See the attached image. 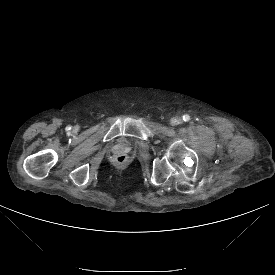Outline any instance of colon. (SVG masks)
I'll list each match as a JSON object with an SVG mask.
<instances>
[{"label": "colon", "instance_id": "colon-1", "mask_svg": "<svg viewBox=\"0 0 275 275\" xmlns=\"http://www.w3.org/2000/svg\"><path fill=\"white\" fill-rule=\"evenodd\" d=\"M115 161H116V163H118V164H123V163H125V161H126V156H125V155H122V154L117 155V156L115 157Z\"/></svg>", "mask_w": 275, "mask_h": 275}]
</instances>
